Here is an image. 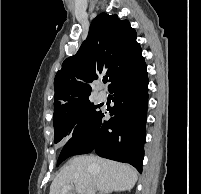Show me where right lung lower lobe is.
Masks as SVG:
<instances>
[{
    "label": "right lung lower lobe",
    "mask_w": 201,
    "mask_h": 194,
    "mask_svg": "<svg viewBox=\"0 0 201 194\" xmlns=\"http://www.w3.org/2000/svg\"><path fill=\"white\" fill-rule=\"evenodd\" d=\"M109 91L114 93L113 117L106 121L101 112L83 133L67 142L61 153L72 156L95 151L101 157L129 163L141 173L148 104L144 58L114 81Z\"/></svg>",
    "instance_id": "1"
}]
</instances>
